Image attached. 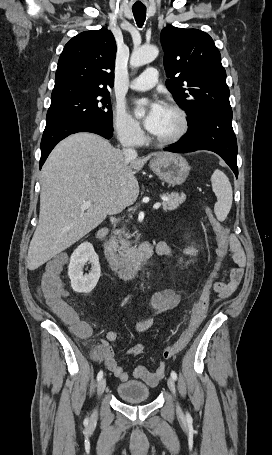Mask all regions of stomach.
<instances>
[{"label":"stomach","instance_id":"stomach-1","mask_svg":"<svg viewBox=\"0 0 272 455\" xmlns=\"http://www.w3.org/2000/svg\"><path fill=\"white\" fill-rule=\"evenodd\" d=\"M153 172L171 185H180L189 175L190 166L187 160L179 154L166 153L155 156L150 161Z\"/></svg>","mask_w":272,"mask_h":455}]
</instances>
